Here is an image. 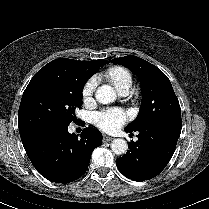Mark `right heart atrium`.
Masks as SVG:
<instances>
[{
	"mask_svg": "<svg viewBox=\"0 0 209 209\" xmlns=\"http://www.w3.org/2000/svg\"><path fill=\"white\" fill-rule=\"evenodd\" d=\"M96 85H97V80L94 77L88 79L85 82L82 88V97L84 101H87L92 97L95 91Z\"/></svg>",
	"mask_w": 209,
	"mask_h": 209,
	"instance_id": "obj_1",
	"label": "right heart atrium"
}]
</instances>
